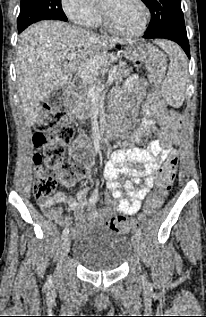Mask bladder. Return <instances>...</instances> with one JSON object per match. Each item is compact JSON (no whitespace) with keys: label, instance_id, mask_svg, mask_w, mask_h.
Wrapping results in <instances>:
<instances>
[{"label":"bladder","instance_id":"obj_1","mask_svg":"<svg viewBox=\"0 0 206 317\" xmlns=\"http://www.w3.org/2000/svg\"><path fill=\"white\" fill-rule=\"evenodd\" d=\"M129 237L104 226L84 227L73 245V256L91 271L118 269L132 254Z\"/></svg>","mask_w":206,"mask_h":317}]
</instances>
